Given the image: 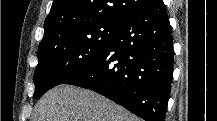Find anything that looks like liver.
<instances>
[{"label": "liver", "instance_id": "1", "mask_svg": "<svg viewBox=\"0 0 217 121\" xmlns=\"http://www.w3.org/2000/svg\"><path fill=\"white\" fill-rule=\"evenodd\" d=\"M33 121H139L122 106L94 91L60 85L36 104Z\"/></svg>", "mask_w": 217, "mask_h": 121}]
</instances>
